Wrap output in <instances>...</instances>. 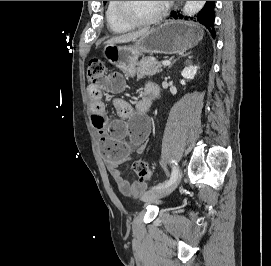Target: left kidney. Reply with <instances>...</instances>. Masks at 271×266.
Instances as JSON below:
<instances>
[{
	"instance_id": "obj_1",
	"label": "left kidney",
	"mask_w": 271,
	"mask_h": 266,
	"mask_svg": "<svg viewBox=\"0 0 271 266\" xmlns=\"http://www.w3.org/2000/svg\"><path fill=\"white\" fill-rule=\"evenodd\" d=\"M197 70H198V67L197 66H189V67H186L184 68V70L182 71L181 75L184 79H193L194 76L196 75L197 73ZM182 79L180 81V83L182 85H185L186 84V81Z\"/></svg>"
}]
</instances>
